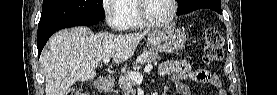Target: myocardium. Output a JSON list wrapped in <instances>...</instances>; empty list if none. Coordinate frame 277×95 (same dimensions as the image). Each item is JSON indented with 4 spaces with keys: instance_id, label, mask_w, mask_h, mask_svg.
<instances>
[{
    "instance_id": "myocardium-1",
    "label": "myocardium",
    "mask_w": 277,
    "mask_h": 95,
    "mask_svg": "<svg viewBox=\"0 0 277 95\" xmlns=\"http://www.w3.org/2000/svg\"><path fill=\"white\" fill-rule=\"evenodd\" d=\"M146 1L147 0H138L136 5L138 16L145 25L149 27H162L169 25L174 20L178 8L176 0H169L172 9L170 16L165 20H154L149 18L144 12V6Z\"/></svg>"
}]
</instances>
